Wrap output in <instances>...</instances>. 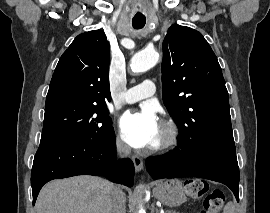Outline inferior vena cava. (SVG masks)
I'll use <instances>...</instances> for the list:
<instances>
[{"mask_svg": "<svg viewBox=\"0 0 270 213\" xmlns=\"http://www.w3.org/2000/svg\"><path fill=\"white\" fill-rule=\"evenodd\" d=\"M117 152L121 157H125L130 154V148L122 143H118ZM109 213H126V198L117 187H114L111 194Z\"/></svg>", "mask_w": 270, "mask_h": 213, "instance_id": "602c4592", "label": "inferior vena cava"}]
</instances>
